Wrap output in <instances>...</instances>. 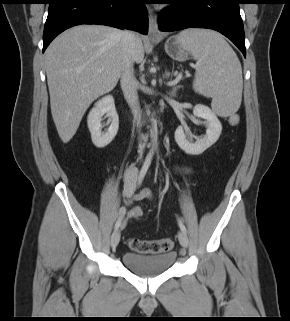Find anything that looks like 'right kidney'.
Instances as JSON below:
<instances>
[{
	"mask_svg": "<svg viewBox=\"0 0 290 321\" xmlns=\"http://www.w3.org/2000/svg\"><path fill=\"white\" fill-rule=\"evenodd\" d=\"M106 115L111 122L108 130L102 132V117ZM87 124L93 144L98 148L107 146L116 136L119 128V117L115 109L114 98L105 96L97 101L88 114Z\"/></svg>",
	"mask_w": 290,
	"mask_h": 321,
	"instance_id": "ca27d5eb",
	"label": "right kidney"
}]
</instances>
